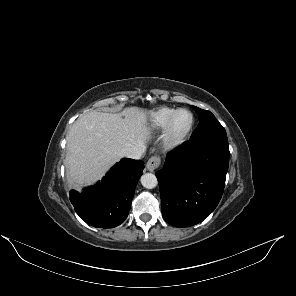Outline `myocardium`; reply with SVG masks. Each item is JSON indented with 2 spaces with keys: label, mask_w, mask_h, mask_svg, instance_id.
Listing matches in <instances>:
<instances>
[{
  "label": "myocardium",
  "mask_w": 296,
  "mask_h": 296,
  "mask_svg": "<svg viewBox=\"0 0 296 296\" xmlns=\"http://www.w3.org/2000/svg\"><path fill=\"white\" fill-rule=\"evenodd\" d=\"M185 112L189 114L190 116V122L188 126L181 132H176L175 131V121L177 116ZM194 126V116L193 114L187 110V109H178L176 110L173 115L171 116L170 120L168 121L167 125L165 126L162 134V148L165 151H172L177 149L179 146H181L188 135L190 134L192 128Z\"/></svg>",
  "instance_id": "myocardium-1"
}]
</instances>
